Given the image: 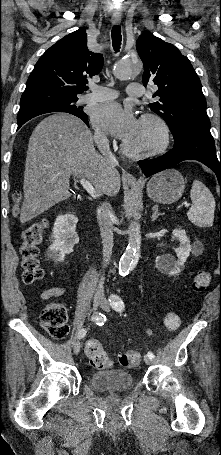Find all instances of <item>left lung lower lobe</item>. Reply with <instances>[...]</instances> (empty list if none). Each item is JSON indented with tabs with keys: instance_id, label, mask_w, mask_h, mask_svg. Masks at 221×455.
I'll list each match as a JSON object with an SVG mask.
<instances>
[{
	"instance_id": "obj_1",
	"label": "left lung lower lobe",
	"mask_w": 221,
	"mask_h": 455,
	"mask_svg": "<svg viewBox=\"0 0 221 455\" xmlns=\"http://www.w3.org/2000/svg\"><path fill=\"white\" fill-rule=\"evenodd\" d=\"M189 159L200 161L212 169L221 186V159L219 161L217 158L215 142L211 134L188 132L174 142L172 150L154 159L141 160L139 166L145 176L149 177Z\"/></svg>"
}]
</instances>
